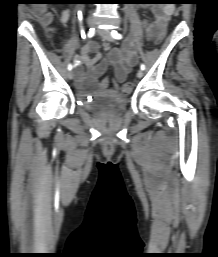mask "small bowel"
Segmentation results:
<instances>
[{
  "label": "small bowel",
  "mask_w": 218,
  "mask_h": 257,
  "mask_svg": "<svg viewBox=\"0 0 218 257\" xmlns=\"http://www.w3.org/2000/svg\"><path fill=\"white\" fill-rule=\"evenodd\" d=\"M152 11L154 18L144 19L138 28L145 31L148 39L156 40L154 36L157 34V30H162V26H165V21H169L173 13V6L155 7ZM70 14V10H64L60 18L61 23H67ZM135 48L136 43L133 37H130L121 49H110L106 45L105 50L108 52V57L100 61L101 54L98 43L94 40L88 41L81 48L79 54L74 56L77 84L81 92H83V84H86L95 94L105 92L106 90H99V79L110 65L114 67L117 82H124L132 67L137 63ZM83 66L86 67V70L83 69ZM117 93L118 90H115L114 94Z\"/></svg>",
  "instance_id": "c3829d8e"
}]
</instances>
